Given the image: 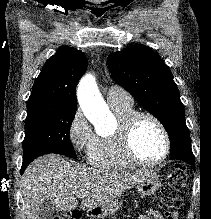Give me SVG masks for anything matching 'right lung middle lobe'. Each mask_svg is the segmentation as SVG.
Listing matches in <instances>:
<instances>
[{
    "instance_id": "1",
    "label": "right lung middle lobe",
    "mask_w": 211,
    "mask_h": 219,
    "mask_svg": "<svg viewBox=\"0 0 211 219\" xmlns=\"http://www.w3.org/2000/svg\"><path fill=\"white\" fill-rule=\"evenodd\" d=\"M76 109L59 108L47 102L27 104L23 162L57 153L77 158L69 132Z\"/></svg>"
}]
</instances>
